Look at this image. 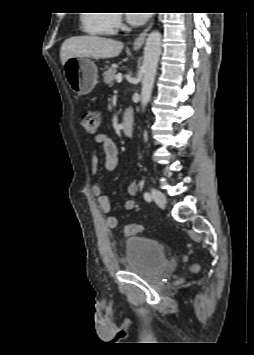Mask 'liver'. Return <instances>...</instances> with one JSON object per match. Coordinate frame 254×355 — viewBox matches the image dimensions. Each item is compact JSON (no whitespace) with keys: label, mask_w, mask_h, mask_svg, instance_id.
I'll use <instances>...</instances> for the list:
<instances>
[{"label":"liver","mask_w":254,"mask_h":355,"mask_svg":"<svg viewBox=\"0 0 254 355\" xmlns=\"http://www.w3.org/2000/svg\"><path fill=\"white\" fill-rule=\"evenodd\" d=\"M123 43L99 36H76L65 40L60 49L62 64L74 57L104 59L118 56Z\"/></svg>","instance_id":"liver-1"}]
</instances>
